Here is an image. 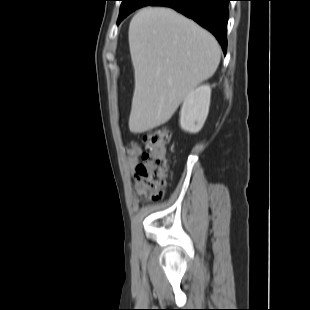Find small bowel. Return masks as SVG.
Here are the masks:
<instances>
[{"mask_svg": "<svg viewBox=\"0 0 310 310\" xmlns=\"http://www.w3.org/2000/svg\"><path fill=\"white\" fill-rule=\"evenodd\" d=\"M125 163L132 172L140 165V157L143 153L142 146L137 142H131L125 147Z\"/></svg>", "mask_w": 310, "mask_h": 310, "instance_id": "c3829d8e", "label": "small bowel"}]
</instances>
